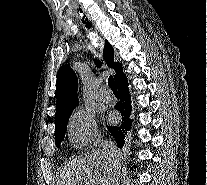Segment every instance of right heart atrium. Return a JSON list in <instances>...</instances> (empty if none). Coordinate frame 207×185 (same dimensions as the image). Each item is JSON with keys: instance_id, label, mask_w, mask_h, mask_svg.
I'll list each match as a JSON object with an SVG mask.
<instances>
[{"instance_id": "obj_1", "label": "right heart atrium", "mask_w": 207, "mask_h": 185, "mask_svg": "<svg viewBox=\"0 0 207 185\" xmlns=\"http://www.w3.org/2000/svg\"><path fill=\"white\" fill-rule=\"evenodd\" d=\"M67 133L80 148H92L100 142V133L91 111L78 109L68 119Z\"/></svg>"}]
</instances>
